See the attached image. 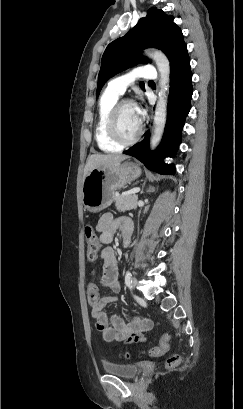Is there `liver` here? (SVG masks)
I'll use <instances>...</instances> for the list:
<instances>
[{
  "label": "liver",
  "instance_id": "6515ba94",
  "mask_svg": "<svg viewBox=\"0 0 243 409\" xmlns=\"http://www.w3.org/2000/svg\"><path fill=\"white\" fill-rule=\"evenodd\" d=\"M127 155L122 154H93L90 155L87 159L85 168H84V175L85 178L89 172H91L95 168L105 169L110 168L116 165H119L122 161L127 159Z\"/></svg>",
  "mask_w": 243,
  "mask_h": 409
}]
</instances>
